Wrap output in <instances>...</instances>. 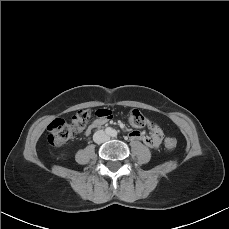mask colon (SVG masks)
Listing matches in <instances>:
<instances>
[{"label": "colon", "mask_w": 229, "mask_h": 229, "mask_svg": "<svg viewBox=\"0 0 229 229\" xmlns=\"http://www.w3.org/2000/svg\"><path fill=\"white\" fill-rule=\"evenodd\" d=\"M102 117L110 118L111 112L107 109L97 111ZM91 111L88 109L79 110L73 117L72 122H66L62 119L52 121L47 129V141L50 145L59 147L64 145L77 132L83 130L91 118ZM130 123L135 127H144L149 124L148 119L137 109H132L128 115ZM177 140L174 137H167L164 140V147L172 151L177 147Z\"/></svg>", "instance_id": "1"}]
</instances>
